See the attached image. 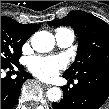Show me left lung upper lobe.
I'll return each mask as SVG.
<instances>
[{
	"label": "left lung upper lobe",
	"mask_w": 109,
	"mask_h": 109,
	"mask_svg": "<svg viewBox=\"0 0 109 109\" xmlns=\"http://www.w3.org/2000/svg\"><path fill=\"white\" fill-rule=\"evenodd\" d=\"M48 24L68 25L78 34L76 59L64 75L74 77L94 65L109 66V25L105 21L84 11H71Z\"/></svg>",
	"instance_id": "5c2ea615"
}]
</instances>
